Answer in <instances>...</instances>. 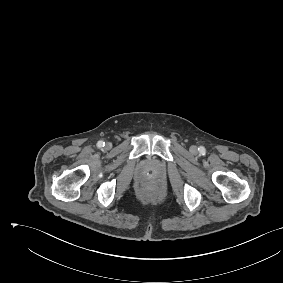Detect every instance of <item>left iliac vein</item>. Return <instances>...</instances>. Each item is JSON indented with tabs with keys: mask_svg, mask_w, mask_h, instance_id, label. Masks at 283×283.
I'll list each match as a JSON object with an SVG mask.
<instances>
[{
	"mask_svg": "<svg viewBox=\"0 0 283 283\" xmlns=\"http://www.w3.org/2000/svg\"><path fill=\"white\" fill-rule=\"evenodd\" d=\"M190 151H191V153L196 154L197 153V147L196 146H191L190 147Z\"/></svg>",
	"mask_w": 283,
	"mask_h": 283,
	"instance_id": "left-iliac-vein-1",
	"label": "left iliac vein"
}]
</instances>
